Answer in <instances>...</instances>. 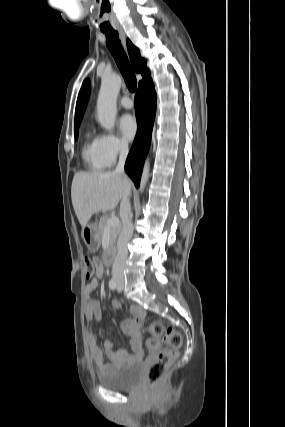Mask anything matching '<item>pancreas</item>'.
Listing matches in <instances>:
<instances>
[{
    "instance_id": "pancreas-1",
    "label": "pancreas",
    "mask_w": 285,
    "mask_h": 427,
    "mask_svg": "<svg viewBox=\"0 0 285 427\" xmlns=\"http://www.w3.org/2000/svg\"><path fill=\"white\" fill-rule=\"evenodd\" d=\"M107 221H108L107 215L103 216L99 221L98 232L100 234V237H102L104 234L105 228L107 226ZM120 229H121L120 224L110 229V245H113L116 242Z\"/></svg>"
}]
</instances>
